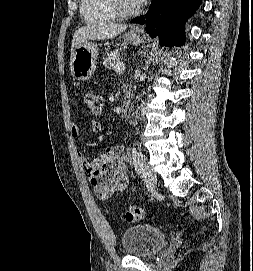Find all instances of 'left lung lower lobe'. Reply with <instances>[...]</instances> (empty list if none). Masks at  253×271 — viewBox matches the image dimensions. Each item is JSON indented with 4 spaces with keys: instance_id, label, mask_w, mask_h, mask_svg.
<instances>
[{
    "instance_id": "left-lung-lower-lobe-1",
    "label": "left lung lower lobe",
    "mask_w": 253,
    "mask_h": 271,
    "mask_svg": "<svg viewBox=\"0 0 253 271\" xmlns=\"http://www.w3.org/2000/svg\"><path fill=\"white\" fill-rule=\"evenodd\" d=\"M200 4L201 0H153L147 14L132 22L145 24L151 37L160 35L161 46H182L184 22Z\"/></svg>"
}]
</instances>
